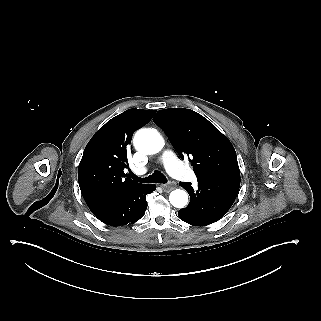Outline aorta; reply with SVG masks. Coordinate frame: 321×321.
<instances>
[{
    "instance_id": "762f6f07",
    "label": "aorta",
    "mask_w": 321,
    "mask_h": 321,
    "mask_svg": "<svg viewBox=\"0 0 321 321\" xmlns=\"http://www.w3.org/2000/svg\"><path fill=\"white\" fill-rule=\"evenodd\" d=\"M135 148L144 154H156L162 150L165 145L163 137L156 129H140L134 136ZM171 205L176 208H184L188 203L187 192L182 189H176L169 195Z\"/></svg>"
}]
</instances>
